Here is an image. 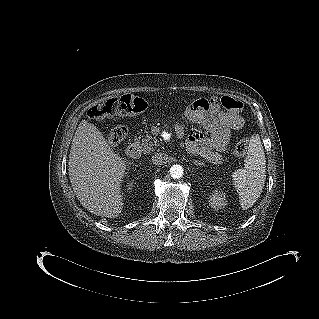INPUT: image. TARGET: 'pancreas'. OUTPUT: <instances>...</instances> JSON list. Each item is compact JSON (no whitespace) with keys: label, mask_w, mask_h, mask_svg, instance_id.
<instances>
[{"label":"pancreas","mask_w":319,"mask_h":319,"mask_svg":"<svg viewBox=\"0 0 319 319\" xmlns=\"http://www.w3.org/2000/svg\"><path fill=\"white\" fill-rule=\"evenodd\" d=\"M136 143L140 145L143 153H150L158 146L157 141L150 135H146L143 139H136Z\"/></svg>","instance_id":"obj_1"}]
</instances>
